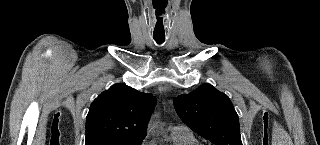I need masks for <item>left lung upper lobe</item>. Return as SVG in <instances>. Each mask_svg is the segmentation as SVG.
<instances>
[{
  "label": "left lung upper lobe",
  "instance_id": "1",
  "mask_svg": "<svg viewBox=\"0 0 320 145\" xmlns=\"http://www.w3.org/2000/svg\"><path fill=\"white\" fill-rule=\"evenodd\" d=\"M181 120L215 145H242L238 115L225 94L203 84L173 101Z\"/></svg>",
  "mask_w": 320,
  "mask_h": 145
}]
</instances>
